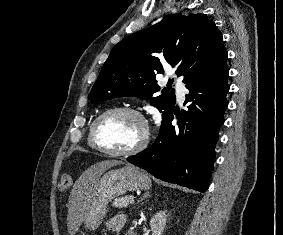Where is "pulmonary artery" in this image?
<instances>
[{"label": "pulmonary artery", "mask_w": 283, "mask_h": 235, "mask_svg": "<svg viewBox=\"0 0 283 235\" xmlns=\"http://www.w3.org/2000/svg\"><path fill=\"white\" fill-rule=\"evenodd\" d=\"M175 86H176V89L178 91V99H179L180 102H182L183 101V94L186 91L185 85L180 81H176Z\"/></svg>", "instance_id": "obj_1"}]
</instances>
